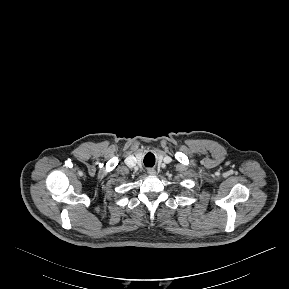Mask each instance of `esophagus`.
I'll return each instance as SVG.
<instances>
[{"label": "esophagus", "mask_w": 289, "mask_h": 289, "mask_svg": "<svg viewBox=\"0 0 289 289\" xmlns=\"http://www.w3.org/2000/svg\"><path fill=\"white\" fill-rule=\"evenodd\" d=\"M147 173H148L149 175H155V174H156V171H155V169H153V168H149V169L147 170Z\"/></svg>", "instance_id": "obj_1"}]
</instances>
